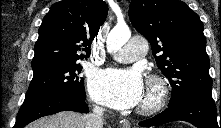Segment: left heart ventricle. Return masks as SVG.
Listing matches in <instances>:
<instances>
[{"instance_id":"b2bd125f","label":"left heart ventricle","mask_w":221,"mask_h":128,"mask_svg":"<svg viewBox=\"0 0 221 128\" xmlns=\"http://www.w3.org/2000/svg\"><path fill=\"white\" fill-rule=\"evenodd\" d=\"M148 97H149V91L146 88L145 91H144V94H143V98H142V100L139 104L141 105L142 103H144L148 99Z\"/></svg>"}]
</instances>
